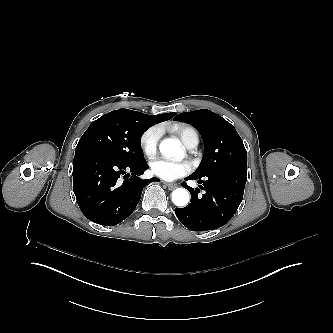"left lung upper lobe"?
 I'll list each match as a JSON object with an SVG mask.
<instances>
[{
	"label": "left lung upper lobe",
	"instance_id": "1",
	"mask_svg": "<svg viewBox=\"0 0 333 333\" xmlns=\"http://www.w3.org/2000/svg\"><path fill=\"white\" fill-rule=\"evenodd\" d=\"M173 120L192 124L202 136L205 151L196 178H208L227 168L247 169V152L232 124L214 112L201 109L181 113Z\"/></svg>",
	"mask_w": 333,
	"mask_h": 333
}]
</instances>
